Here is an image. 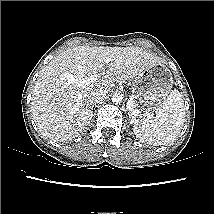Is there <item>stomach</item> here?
<instances>
[{
	"mask_svg": "<svg viewBox=\"0 0 214 214\" xmlns=\"http://www.w3.org/2000/svg\"><path fill=\"white\" fill-rule=\"evenodd\" d=\"M173 84L168 67L157 62L135 78L132 93L134 110L150 112L157 109L167 99Z\"/></svg>",
	"mask_w": 214,
	"mask_h": 214,
	"instance_id": "0dacf381",
	"label": "stomach"
}]
</instances>
